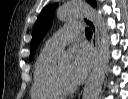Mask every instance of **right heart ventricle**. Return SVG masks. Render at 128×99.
Instances as JSON below:
<instances>
[{"label":"right heart ventricle","instance_id":"e07e8e85","mask_svg":"<svg viewBox=\"0 0 128 99\" xmlns=\"http://www.w3.org/2000/svg\"><path fill=\"white\" fill-rule=\"evenodd\" d=\"M58 51L44 47L39 53L33 72L31 96L34 99H61L65 93L55 80Z\"/></svg>","mask_w":128,"mask_h":99}]
</instances>
